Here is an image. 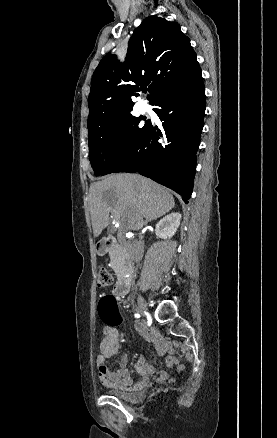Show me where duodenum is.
<instances>
[{
    "label": "duodenum",
    "mask_w": 277,
    "mask_h": 438,
    "mask_svg": "<svg viewBox=\"0 0 277 438\" xmlns=\"http://www.w3.org/2000/svg\"><path fill=\"white\" fill-rule=\"evenodd\" d=\"M97 251L99 254H105L110 250L116 248V242L113 238H104L97 243ZM133 275V264L129 263L119 278L115 286V293L119 296H125L128 294L131 287V280Z\"/></svg>",
    "instance_id": "1"
}]
</instances>
